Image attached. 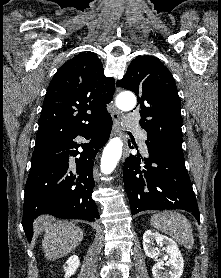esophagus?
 <instances>
[{"label":"esophagus","mask_w":221,"mask_h":278,"mask_svg":"<svg viewBox=\"0 0 221 278\" xmlns=\"http://www.w3.org/2000/svg\"><path fill=\"white\" fill-rule=\"evenodd\" d=\"M120 116H121V112L114 108L112 111V119H113V127H112V135L115 136H121L122 135V131H121V127H120ZM126 152L124 151L123 153V158H126Z\"/></svg>","instance_id":"obj_1"}]
</instances>
